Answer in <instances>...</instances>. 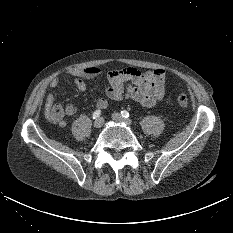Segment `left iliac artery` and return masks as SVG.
Returning <instances> with one entry per match:
<instances>
[{
  "label": "left iliac artery",
  "instance_id": "left-iliac-artery-1",
  "mask_svg": "<svg viewBox=\"0 0 233 233\" xmlns=\"http://www.w3.org/2000/svg\"><path fill=\"white\" fill-rule=\"evenodd\" d=\"M121 115L124 118H128L129 117V113L126 110L121 111Z\"/></svg>",
  "mask_w": 233,
  "mask_h": 233
}]
</instances>
